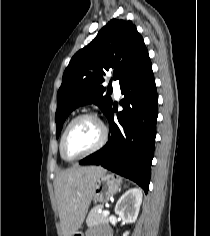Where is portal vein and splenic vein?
Wrapping results in <instances>:
<instances>
[{
  "label": "portal vein and splenic vein",
  "mask_w": 210,
  "mask_h": 236,
  "mask_svg": "<svg viewBox=\"0 0 210 236\" xmlns=\"http://www.w3.org/2000/svg\"><path fill=\"white\" fill-rule=\"evenodd\" d=\"M100 211H101V210H100ZM102 213H103L104 216H108V215L110 214L109 210H107V209H106V210H103Z\"/></svg>",
  "instance_id": "portal-vein-and-splenic-vein-1"
}]
</instances>
